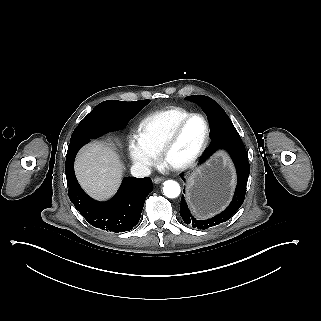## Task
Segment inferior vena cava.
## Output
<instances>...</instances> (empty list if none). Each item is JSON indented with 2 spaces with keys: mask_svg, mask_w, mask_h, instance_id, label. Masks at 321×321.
<instances>
[{
  "mask_svg": "<svg viewBox=\"0 0 321 321\" xmlns=\"http://www.w3.org/2000/svg\"><path fill=\"white\" fill-rule=\"evenodd\" d=\"M131 173L133 176L141 178L149 176L151 174V170L146 165L136 163L132 165Z\"/></svg>",
  "mask_w": 321,
  "mask_h": 321,
  "instance_id": "602c4592",
  "label": "inferior vena cava"
}]
</instances>
